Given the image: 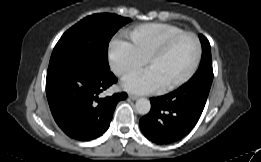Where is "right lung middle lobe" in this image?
<instances>
[{"instance_id":"right-lung-middle-lobe-1","label":"right lung middle lobe","mask_w":261,"mask_h":162,"mask_svg":"<svg viewBox=\"0 0 261 162\" xmlns=\"http://www.w3.org/2000/svg\"><path fill=\"white\" fill-rule=\"evenodd\" d=\"M128 22L129 18L111 13L94 14L82 19L60 38L52 52L49 67L64 61L87 59L109 68V41Z\"/></svg>"}]
</instances>
